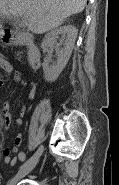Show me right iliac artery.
I'll return each instance as SVG.
<instances>
[{"mask_svg": "<svg viewBox=\"0 0 119 185\" xmlns=\"http://www.w3.org/2000/svg\"><path fill=\"white\" fill-rule=\"evenodd\" d=\"M43 151V146H40L37 151L34 153V155L32 157H30L26 163H24L21 168L26 165L27 163L31 162L32 160H34L37 156H39L41 154V152Z\"/></svg>", "mask_w": 119, "mask_h": 185, "instance_id": "82829eb1", "label": "right iliac artery"}]
</instances>
